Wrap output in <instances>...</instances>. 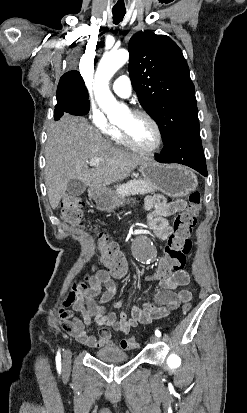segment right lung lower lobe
Instances as JSON below:
<instances>
[{"label": "right lung lower lobe", "mask_w": 247, "mask_h": 413, "mask_svg": "<svg viewBox=\"0 0 247 413\" xmlns=\"http://www.w3.org/2000/svg\"><path fill=\"white\" fill-rule=\"evenodd\" d=\"M71 114L76 116H82V110L70 101H57V105L54 110V119L59 120L64 114Z\"/></svg>", "instance_id": "obj_1"}]
</instances>
